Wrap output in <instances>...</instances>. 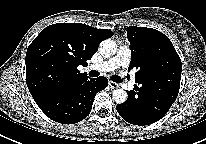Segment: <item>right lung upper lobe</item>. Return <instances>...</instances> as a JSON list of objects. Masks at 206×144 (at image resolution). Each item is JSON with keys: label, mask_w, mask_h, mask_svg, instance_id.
<instances>
[{"label": "right lung upper lobe", "mask_w": 206, "mask_h": 144, "mask_svg": "<svg viewBox=\"0 0 206 144\" xmlns=\"http://www.w3.org/2000/svg\"><path fill=\"white\" fill-rule=\"evenodd\" d=\"M112 36L110 30L82 23H57L42 30L26 53V83L33 99L87 80L77 67L87 64L99 43Z\"/></svg>", "instance_id": "obj_1"}]
</instances>
